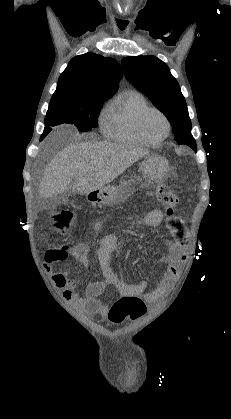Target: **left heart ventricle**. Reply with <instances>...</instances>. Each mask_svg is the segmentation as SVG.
Instances as JSON below:
<instances>
[{"instance_id":"1","label":"left heart ventricle","mask_w":231,"mask_h":419,"mask_svg":"<svg viewBox=\"0 0 231 419\" xmlns=\"http://www.w3.org/2000/svg\"><path fill=\"white\" fill-rule=\"evenodd\" d=\"M166 123L162 116L157 112H150L143 121V130L151 139H158L166 132Z\"/></svg>"}]
</instances>
